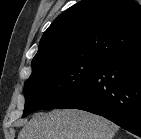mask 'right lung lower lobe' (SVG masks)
Instances as JSON below:
<instances>
[{
	"label": "right lung lower lobe",
	"mask_w": 141,
	"mask_h": 139,
	"mask_svg": "<svg viewBox=\"0 0 141 139\" xmlns=\"http://www.w3.org/2000/svg\"><path fill=\"white\" fill-rule=\"evenodd\" d=\"M55 108L98 114L141 137V45L109 58L87 84Z\"/></svg>",
	"instance_id": "1"
}]
</instances>
